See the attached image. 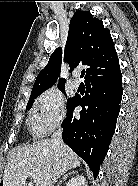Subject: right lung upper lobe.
I'll return each instance as SVG.
<instances>
[{"instance_id":"right-lung-upper-lobe-1","label":"right lung upper lobe","mask_w":138,"mask_h":186,"mask_svg":"<svg viewBox=\"0 0 138 186\" xmlns=\"http://www.w3.org/2000/svg\"><path fill=\"white\" fill-rule=\"evenodd\" d=\"M65 60L71 71L78 65L86 67L85 83L106 80L121 74L109 29L104 28L103 22L93 17L89 11L75 12L70 21ZM61 62L62 48L59 47L38 74L31 94L42 93L57 81ZM64 83L65 79H60L58 87H64Z\"/></svg>"}]
</instances>
